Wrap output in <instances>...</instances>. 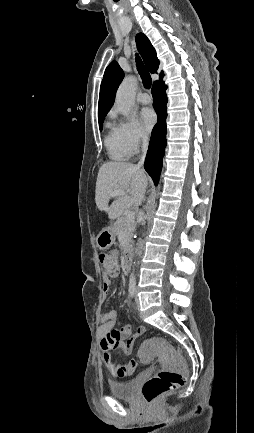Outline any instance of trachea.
Masks as SVG:
<instances>
[{
    "instance_id": "obj_1",
    "label": "trachea",
    "mask_w": 254,
    "mask_h": 433,
    "mask_svg": "<svg viewBox=\"0 0 254 433\" xmlns=\"http://www.w3.org/2000/svg\"><path fill=\"white\" fill-rule=\"evenodd\" d=\"M136 66L144 86L149 89L151 87L152 79L150 73L148 72L138 55H136Z\"/></svg>"
}]
</instances>
